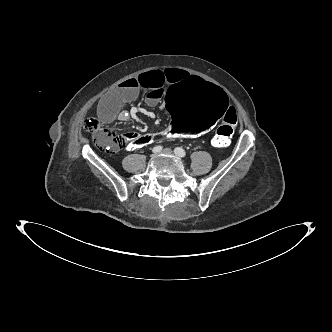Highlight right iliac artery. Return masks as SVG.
Returning a JSON list of instances; mask_svg holds the SVG:
<instances>
[{
    "instance_id": "1",
    "label": "right iliac artery",
    "mask_w": 332,
    "mask_h": 332,
    "mask_svg": "<svg viewBox=\"0 0 332 332\" xmlns=\"http://www.w3.org/2000/svg\"><path fill=\"white\" fill-rule=\"evenodd\" d=\"M161 150H162V146H155V147L152 149V151H153L154 153H159Z\"/></svg>"
}]
</instances>
